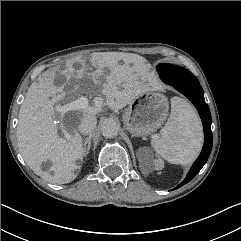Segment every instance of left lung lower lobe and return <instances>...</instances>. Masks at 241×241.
Segmentation results:
<instances>
[{
  "label": "left lung lower lobe",
  "mask_w": 241,
  "mask_h": 241,
  "mask_svg": "<svg viewBox=\"0 0 241 241\" xmlns=\"http://www.w3.org/2000/svg\"><path fill=\"white\" fill-rule=\"evenodd\" d=\"M165 83L173 85L179 92L184 94L197 108L199 115L202 119L203 128H204V145L202 152L198 159L193 164L191 170L187 174V177L183 184L191 181L201 170L204 164L207 162L208 157L211 153L212 149V132H211V115L210 110L205 102L203 89L200 86L198 80L192 82H184V83H174L168 80L161 78ZM179 187V186H178ZM176 187V189L178 188Z\"/></svg>",
  "instance_id": "left-lung-lower-lobe-1"
}]
</instances>
